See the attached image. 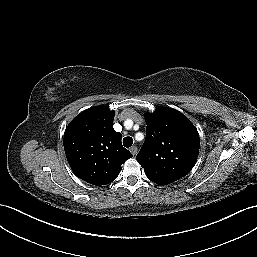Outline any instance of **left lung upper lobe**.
Returning <instances> with one entry per match:
<instances>
[{
  "label": "left lung upper lobe",
  "instance_id": "5c2ea615",
  "mask_svg": "<svg viewBox=\"0 0 257 257\" xmlns=\"http://www.w3.org/2000/svg\"><path fill=\"white\" fill-rule=\"evenodd\" d=\"M146 139L136 156L147 177L169 184L186 176L196 163L200 138L179 111L164 107L146 114Z\"/></svg>",
  "mask_w": 257,
  "mask_h": 257
}]
</instances>
